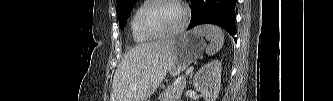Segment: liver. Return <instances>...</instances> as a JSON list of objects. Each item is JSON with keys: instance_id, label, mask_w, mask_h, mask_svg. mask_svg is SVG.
<instances>
[{"instance_id": "6515ba94", "label": "liver", "mask_w": 333, "mask_h": 101, "mask_svg": "<svg viewBox=\"0 0 333 101\" xmlns=\"http://www.w3.org/2000/svg\"><path fill=\"white\" fill-rule=\"evenodd\" d=\"M172 39L136 45L118 65L110 101H146L165 78Z\"/></svg>"}]
</instances>
